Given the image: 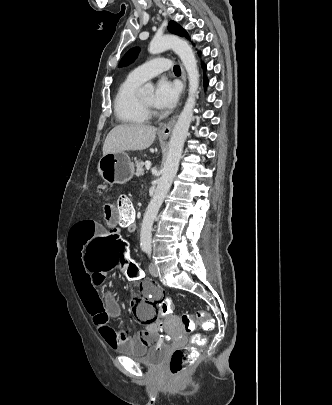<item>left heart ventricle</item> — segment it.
<instances>
[{
	"instance_id": "b2bd125f",
	"label": "left heart ventricle",
	"mask_w": 332,
	"mask_h": 405,
	"mask_svg": "<svg viewBox=\"0 0 332 405\" xmlns=\"http://www.w3.org/2000/svg\"><path fill=\"white\" fill-rule=\"evenodd\" d=\"M142 100H143L145 103H147V104L153 106V102H154V95H153V93H150V94H148V95L143 96V97H142Z\"/></svg>"
}]
</instances>
